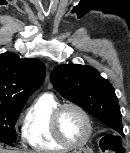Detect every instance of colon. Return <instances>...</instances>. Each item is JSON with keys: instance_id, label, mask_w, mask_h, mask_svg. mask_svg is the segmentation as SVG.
I'll list each match as a JSON object with an SVG mask.
<instances>
[{"instance_id": "5ec220e1", "label": "colon", "mask_w": 130, "mask_h": 153, "mask_svg": "<svg viewBox=\"0 0 130 153\" xmlns=\"http://www.w3.org/2000/svg\"><path fill=\"white\" fill-rule=\"evenodd\" d=\"M101 151L103 153H124L120 140L113 135H106L102 138Z\"/></svg>"}]
</instances>
